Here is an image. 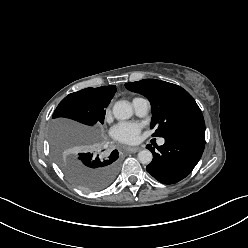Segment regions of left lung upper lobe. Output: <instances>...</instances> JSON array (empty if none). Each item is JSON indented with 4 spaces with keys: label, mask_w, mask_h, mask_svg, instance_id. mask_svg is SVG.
<instances>
[{
    "label": "left lung upper lobe",
    "mask_w": 248,
    "mask_h": 248,
    "mask_svg": "<svg viewBox=\"0 0 248 248\" xmlns=\"http://www.w3.org/2000/svg\"><path fill=\"white\" fill-rule=\"evenodd\" d=\"M125 87L150 101V127L156 129L153 136L166 138L187 124L204 120L193 97L178 85L157 79H143L126 83Z\"/></svg>",
    "instance_id": "left-lung-upper-lobe-1"
}]
</instances>
